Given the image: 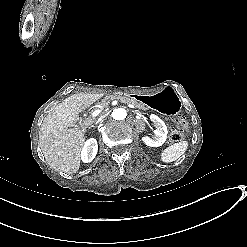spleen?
Returning <instances> with one entry per match:
<instances>
[{
    "mask_svg": "<svg viewBox=\"0 0 247 247\" xmlns=\"http://www.w3.org/2000/svg\"><path fill=\"white\" fill-rule=\"evenodd\" d=\"M189 148L188 140H180L176 143L168 145L160 154V161L168 164L178 160L183 156Z\"/></svg>",
    "mask_w": 247,
    "mask_h": 247,
    "instance_id": "3e777b00",
    "label": "spleen"
}]
</instances>
